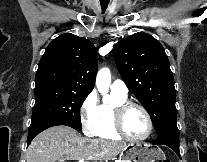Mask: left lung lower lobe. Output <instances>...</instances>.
<instances>
[{
    "label": "left lung lower lobe",
    "mask_w": 207,
    "mask_h": 162,
    "mask_svg": "<svg viewBox=\"0 0 207 162\" xmlns=\"http://www.w3.org/2000/svg\"><path fill=\"white\" fill-rule=\"evenodd\" d=\"M153 143L170 147L181 159L179 151V130L177 126L167 128L160 132L157 139L154 140Z\"/></svg>",
    "instance_id": "left-lung-lower-lobe-1"
}]
</instances>
